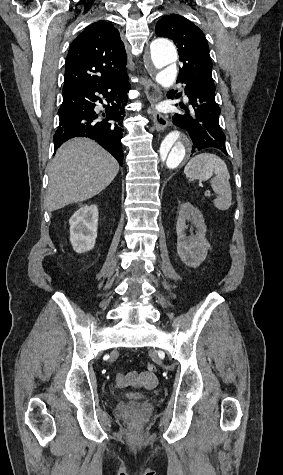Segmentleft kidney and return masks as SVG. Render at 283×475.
<instances>
[{
    "instance_id": "obj_1",
    "label": "left kidney",
    "mask_w": 283,
    "mask_h": 475,
    "mask_svg": "<svg viewBox=\"0 0 283 475\" xmlns=\"http://www.w3.org/2000/svg\"><path fill=\"white\" fill-rule=\"evenodd\" d=\"M186 220H192L197 228L195 236H186ZM206 226L204 218L198 208H194L190 202L182 204L176 224L177 253L183 263L190 267H198L204 261L211 245L205 238Z\"/></svg>"
}]
</instances>
